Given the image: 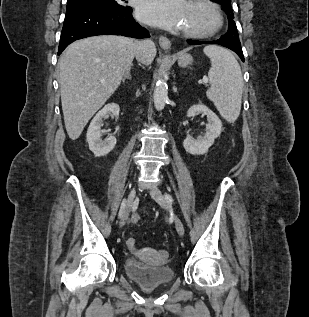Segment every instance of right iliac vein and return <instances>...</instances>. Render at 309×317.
<instances>
[{
    "mask_svg": "<svg viewBox=\"0 0 309 317\" xmlns=\"http://www.w3.org/2000/svg\"><path fill=\"white\" fill-rule=\"evenodd\" d=\"M135 196H136V190H135V188H132L129 195H128L127 204H126L124 213H123L121 220H120V227H123L128 219V216H129L130 210L132 208Z\"/></svg>",
    "mask_w": 309,
    "mask_h": 317,
    "instance_id": "obj_1",
    "label": "right iliac vein"
}]
</instances>
